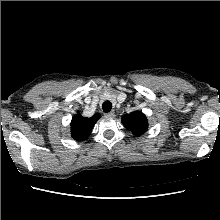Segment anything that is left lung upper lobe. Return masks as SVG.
<instances>
[{"label": "left lung upper lobe", "instance_id": "5c2ea615", "mask_svg": "<svg viewBox=\"0 0 220 220\" xmlns=\"http://www.w3.org/2000/svg\"><path fill=\"white\" fill-rule=\"evenodd\" d=\"M122 123L129 131L137 136L145 133L148 128L146 116L140 111H135L131 114L124 115L122 117Z\"/></svg>", "mask_w": 220, "mask_h": 220}]
</instances>
